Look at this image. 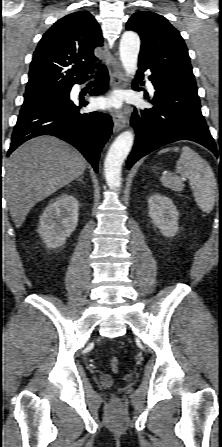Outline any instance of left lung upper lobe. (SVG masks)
I'll return each mask as SVG.
<instances>
[{
  "label": "left lung upper lobe",
  "instance_id": "5c2ea615",
  "mask_svg": "<svg viewBox=\"0 0 222 447\" xmlns=\"http://www.w3.org/2000/svg\"><path fill=\"white\" fill-rule=\"evenodd\" d=\"M127 30L140 35L139 60L147 61L183 86L197 92L187 47L178 30L166 18L153 12H136Z\"/></svg>",
  "mask_w": 222,
  "mask_h": 447
}]
</instances>
